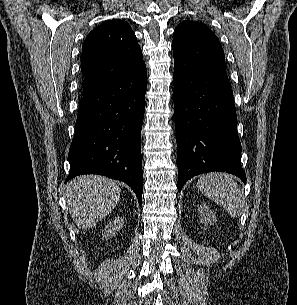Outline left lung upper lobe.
I'll use <instances>...</instances> for the list:
<instances>
[{"label": "left lung upper lobe", "mask_w": 297, "mask_h": 305, "mask_svg": "<svg viewBox=\"0 0 297 305\" xmlns=\"http://www.w3.org/2000/svg\"><path fill=\"white\" fill-rule=\"evenodd\" d=\"M174 63L192 74L226 73L225 54L217 36L205 24L182 21L174 31Z\"/></svg>", "instance_id": "5c2ea615"}]
</instances>
